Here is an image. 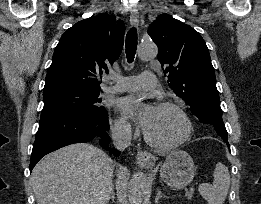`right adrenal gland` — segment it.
<instances>
[{"label":"right adrenal gland","instance_id":"right-adrenal-gland-1","mask_svg":"<svg viewBox=\"0 0 261 204\" xmlns=\"http://www.w3.org/2000/svg\"><path fill=\"white\" fill-rule=\"evenodd\" d=\"M114 199H115V193H114V189H112L108 200H112V202H114Z\"/></svg>","mask_w":261,"mask_h":204}]
</instances>
